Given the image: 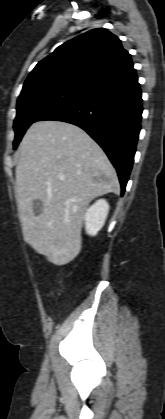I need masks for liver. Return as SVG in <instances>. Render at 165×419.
<instances>
[{
    "instance_id": "liver-1",
    "label": "liver",
    "mask_w": 165,
    "mask_h": 419,
    "mask_svg": "<svg viewBox=\"0 0 165 419\" xmlns=\"http://www.w3.org/2000/svg\"><path fill=\"white\" fill-rule=\"evenodd\" d=\"M16 166V198L24 240L58 266L81 250L84 211L96 197L119 191L116 171L81 128L39 121L23 137ZM34 200L43 211L33 212Z\"/></svg>"
}]
</instances>
